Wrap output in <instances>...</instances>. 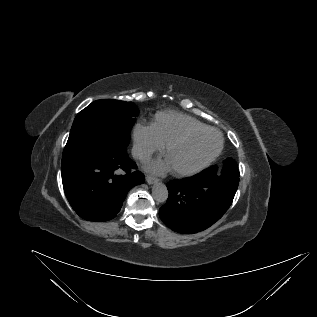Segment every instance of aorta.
Segmentation results:
<instances>
[{"mask_svg": "<svg viewBox=\"0 0 317 317\" xmlns=\"http://www.w3.org/2000/svg\"><path fill=\"white\" fill-rule=\"evenodd\" d=\"M168 194V189L163 183H156L152 187V196L157 202H165L168 199Z\"/></svg>", "mask_w": 317, "mask_h": 317, "instance_id": "1", "label": "aorta"}]
</instances>
